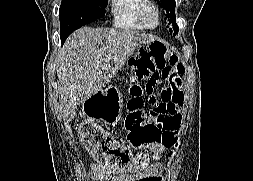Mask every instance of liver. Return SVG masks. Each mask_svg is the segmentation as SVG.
<instances>
[{
  "label": "liver",
  "mask_w": 253,
  "mask_h": 181,
  "mask_svg": "<svg viewBox=\"0 0 253 181\" xmlns=\"http://www.w3.org/2000/svg\"><path fill=\"white\" fill-rule=\"evenodd\" d=\"M154 40L145 33L108 27L73 32L55 61L63 118H74L79 104L109 84L136 49Z\"/></svg>",
  "instance_id": "6515ba94"
}]
</instances>
